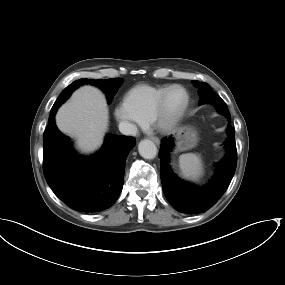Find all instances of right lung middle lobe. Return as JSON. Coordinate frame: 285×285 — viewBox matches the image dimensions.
<instances>
[{"label": "right lung middle lobe", "mask_w": 285, "mask_h": 285, "mask_svg": "<svg viewBox=\"0 0 285 285\" xmlns=\"http://www.w3.org/2000/svg\"><path fill=\"white\" fill-rule=\"evenodd\" d=\"M88 83L92 84V85H96L99 88H101L107 96L108 103H111L114 95L116 94L118 88L120 87V85L122 83V79L112 78V79H104V80L103 79H99V80H88V79L76 80L75 82H73L71 85H69L67 88H65L63 90L62 94H60V96L57 98L56 102L54 103V105L51 109V112H54V110L57 106H60L62 103H64V101L70 96V94L76 88H78L80 85L88 84Z\"/></svg>", "instance_id": "dd1d6c3e"}]
</instances>
